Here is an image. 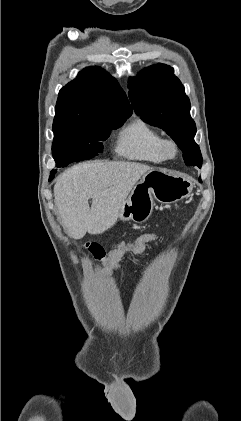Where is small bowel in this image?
Returning <instances> with one entry per match:
<instances>
[{
    "instance_id": "obj_1",
    "label": "small bowel",
    "mask_w": 241,
    "mask_h": 421,
    "mask_svg": "<svg viewBox=\"0 0 241 421\" xmlns=\"http://www.w3.org/2000/svg\"><path fill=\"white\" fill-rule=\"evenodd\" d=\"M157 234L156 233H151V232H149V233H145V234H143V235H141L137 240H136V242L139 244V245H142V246H144L145 247V245L146 244H148V243H150V242H153V241H155L156 239H157ZM122 257H123V254L122 253H117V252H113L111 255H110V257H109V260H108V264H107V266H106V269H105V271L103 272V274H102V278H106V276H107V274L110 272V271H112V270H114V269H116L117 267H118V265H119V262H120V260L122 259ZM111 283H116V281L115 280H109ZM119 284V283H118ZM124 290H125V292L127 293V294H129V295H131L132 294V292L129 290V289H127L126 287H124V285H122V284H119Z\"/></svg>"
}]
</instances>
